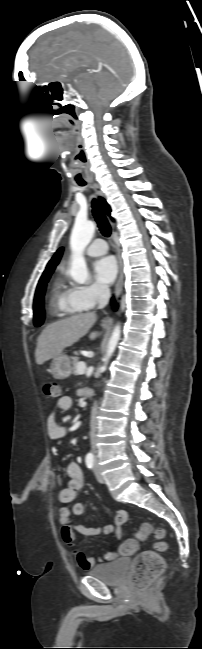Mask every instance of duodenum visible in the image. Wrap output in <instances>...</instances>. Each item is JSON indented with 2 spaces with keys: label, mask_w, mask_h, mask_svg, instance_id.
I'll use <instances>...</instances> for the list:
<instances>
[{
  "label": "duodenum",
  "mask_w": 202,
  "mask_h": 649,
  "mask_svg": "<svg viewBox=\"0 0 202 649\" xmlns=\"http://www.w3.org/2000/svg\"><path fill=\"white\" fill-rule=\"evenodd\" d=\"M83 393H84V395H86L88 397H91V396L94 395V391L91 390V389H85Z\"/></svg>",
  "instance_id": "1"
}]
</instances>
